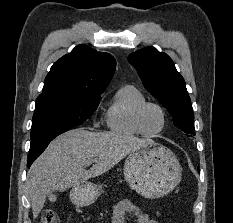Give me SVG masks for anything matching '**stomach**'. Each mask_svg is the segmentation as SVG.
I'll return each mask as SVG.
<instances>
[{
    "label": "stomach",
    "mask_w": 233,
    "mask_h": 223,
    "mask_svg": "<svg viewBox=\"0 0 233 223\" xmlns=\"http://www.w3.org/2000/svg\"><path fill=\"white\" fill-rule=\"evenodd\" d=\"M123 173L131 189L143 197L157 199L178 185L182 167L171 149L155 141H145L139 149L128 153ZM101 193H106L104 183L84 181L72 187L70 201L78 207H86L94 203Z\"/></svg>",
    "instance_id": "1"
}]
</instances>
